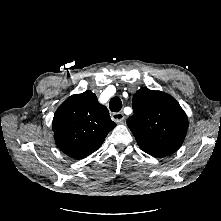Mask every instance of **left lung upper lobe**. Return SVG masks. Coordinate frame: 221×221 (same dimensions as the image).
<instances>
[{"mask_svg":"<svg viewBox=\"0 0 221 221\" xmlns=\"http://www.w3.org/2000/svg\"><path fill=\"white\" fill-rule=\"evenodd\" d=\"M133 111L127 124L144 152L164 157L180 148L188 119L173 97L143 87L133 97Z\"/></svg>","mask_w":221,"mask_h":221,"instance_id":"5c2ea615","label":"left lung upper lobe"}]
</instances>
